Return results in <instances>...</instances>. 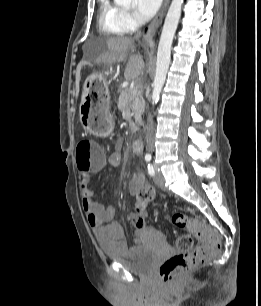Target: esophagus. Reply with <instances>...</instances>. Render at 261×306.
<instances>
[{
	"instance_id": "1",
	"label": "esophagus",
	"mask_w": 261,
	"mask_h": 306,
	"mask_svg": "<svg viewBox=\"0 0 261 306\" xmlns=\"http://www.w3.org/2000/svg\"><path fill=\"white\" fill-rule=\"evenodd\" d=\"M169 4V0H164L159 12L156 14L152 22L150 23L146 34L143 36L142 44L145 47H152V38L158 27L162 23L163 17L166 13L167 7Z\"/></svg>"
}]
</instances>
